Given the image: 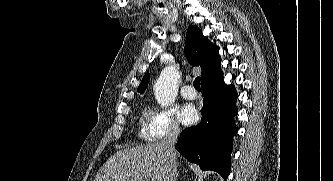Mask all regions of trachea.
Masks as SVG:
<instances>
[{
  "instance_id": "trachea-1",
  "label": "trachea",
  "mask_w": 333,
  "mask_h": 181,
  "mask_svg": "<svg viewBox=\"0 0 333 181\" xmlns=\"http://www.w3.org/2000/svg\"><path fill=\"white\" fill-rule=\"evenodd\" d=\"M193 85L197 91H200V78L199 77L195 78Z\"/></svg>"
}]
</instances>
